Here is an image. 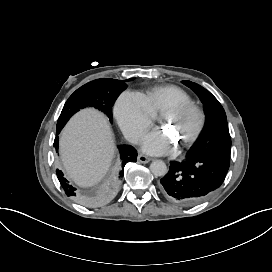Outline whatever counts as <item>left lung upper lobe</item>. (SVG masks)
<instances>
[{"label":"left lung upper lobe","mask_w":272,"mask_h":272,"mask_svg":"<svg viewBox=\"0 0 272 272\" xmlns=\"http://www.w3.org/2000/svg\"><path fill=\"white\" fill-rule=\"evenodd\" d=\"M183 84L198 95L207 116L203 135L190 155L217 154L230 159L231 138L222 105L202 86L191 81H183Z\"/></svg>","instance_id":"5c2ea615"}]
</instances>
